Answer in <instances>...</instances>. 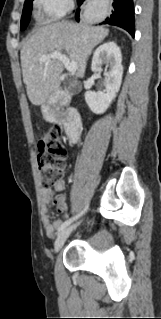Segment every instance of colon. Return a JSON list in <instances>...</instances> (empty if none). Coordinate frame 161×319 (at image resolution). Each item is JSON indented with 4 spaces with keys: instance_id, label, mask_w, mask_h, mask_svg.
<instances>
[{
    "instance_id": "5ec220e1",
    "label": "colon",
    "mask_w": 161,
    "mask_h": 319,
    "mask_svg": "<svg viewBox=\"0 0 161 319\" xmlns=\"http://www.w3.org/2000/svg\"><path fill=\"white\" fill-rule=\"evenodd\" d=\"M68 164V151L58 130L50 129L43 132L39 138L38 154L42 186L50 187L60 181ZM54 205L57 211H63L65 207L63 198L58 197L54 201Z\"/></svg>"
}]
</instances>
